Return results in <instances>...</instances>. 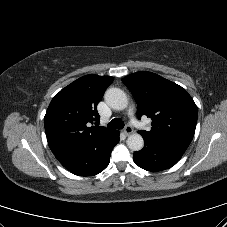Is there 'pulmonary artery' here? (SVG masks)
<instances>
[{
    "label": "pulmonary artery",
    "instance_id": "pulmonary-artery-1",
    "mask_svg": "<svg viewBox=\"0 0 227 227\" xmlns=\"http://www.w3.org/2000/svg\"><path fill=\"white\" fill-rule=\"evenodd\" d=\"M130 114H132V110H130ZM132 123H133L134 125H138L137 121H136L135 119H133V118H132Z\"/></svg>",
    "mask_w": 227,
    "mask_h": 227
}]
</instances>
